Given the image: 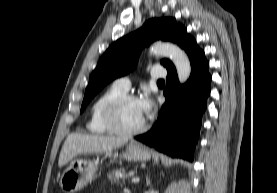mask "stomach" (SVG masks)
Instances as JSON below:
<instances>
[{
    "instance_id": "1",
    "label": "stomach",
    "mask_w": 277,
    "mask_h": 193,
    "mask_svg": "<svg viewBox=\"0 0 277 193\" xmlns=\"http://www.w3.org/2000/svg\"><path fill=\"white\" fill-rule=\"evenodd\" d=\"M114 156H118L117 153ZM120 158L128 161L145 162L150 160L151 152L141 144L131 141ZM98 168V160L77 158L70 162L60 177V186L64 193H76L91 182Z\"/></svg>"
}]
</instances>
